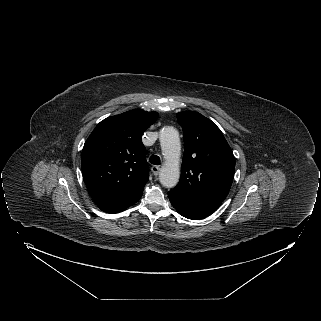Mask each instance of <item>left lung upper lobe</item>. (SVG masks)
Instances as JSON below:
<instances>
[{
  "label": "left lung upper lobe",
  "mask_w": 321,
  "mask_h": 321,
  "mask_svg": "<svg viewBox=\"0 0 321 321\" xmlns=\"http://www.w3.org/2000/svg\"><path fill=\"white\" fill-rule=\"evenodd\" d=\"M184 133L181 178L174 190L222 202L232 185L235 158L220 129L198 112L177 113Z\"/></svg>",
  "instance_id": "1"
}]
</instances>
